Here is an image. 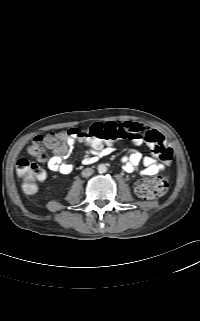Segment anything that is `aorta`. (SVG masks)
I'll list each match as a JSON object with an SVG mask.
<instances>
[{
  "instance_id": "obj_1",
  "label": "aorta",
  "mask_w": 200,
  "mask_h": 321,
  "mask_svg": "<svg viewBox=\"0 0 200 321\" xmlns=\"http://www.w3.org/2000/svg\"><path fill=\"white\" fill-rule=\"evenodd\" d=\"M97 170L99 173H105L107 171V167L104 164H100V165H98Z\"/></svg>"
}]
</instances>
